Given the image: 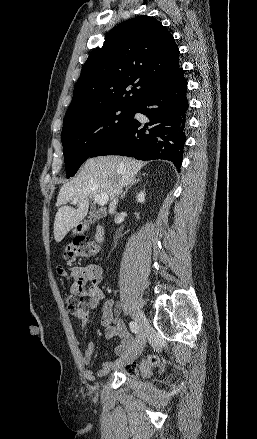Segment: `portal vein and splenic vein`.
Wrapping results in <instances>:
<instances>
[{
    "label": "portal vein and splenic vein",
    "mask_w": 257,
    "mask_h": 439,
    "mask_svg": "<svg viewBox=\"0 0 257 439\" xmlns=\"http://www.w3.org/2000/svg\"><path fill=\"white\" fill-rule=\"evenodd\" d=\"M93 198L94 201L97 202V204L100 206H104L109 200V197L106 193L94 195ZM77 201H78L77 199H74L73 202L76 203Z\"/></svg>",
    "instance_id": "1"
}]
</instances>
